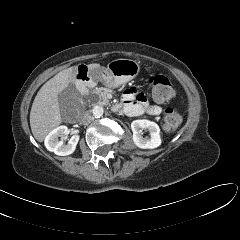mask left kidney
Returning a JSON list of instances; mask_svg holds the SVG:
<instances>
[{"label":"left kidney","instance_id":"1","mask_svg":"<svg viewBox=\"0 0 240 240\" xmlns=\"http://www.w3.org/2000/svg\"><path fill=\"white\" fill-rule=\"evenodd\" d=\"M131 129L133 131L134 144L142 149H154L161 145V136L159 126L149 120H134L131 123ZM147 129L150 133V137H143L142 130Z\"/></svg>","mask_w":240,"mask_h":240}]
</instances>
